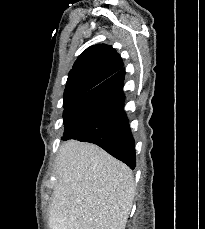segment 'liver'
Masks as SVG:
<instances>
[{
    "label": "liver",
    "instance_id": "1",
    "mask_svg": "<svg viewBox=\"0 0 205 229\" xmlns=\"http://www.w3.org/2000/svg\"><path fill=\"white\" fill-rule=\"evenodd\" d=\"M55 175L50 229H125L135 194L128 166L94 144L69 140Z\"/></svg>",
    "mask_w": 205,
    "mask_h": 229
}]
</instances>
